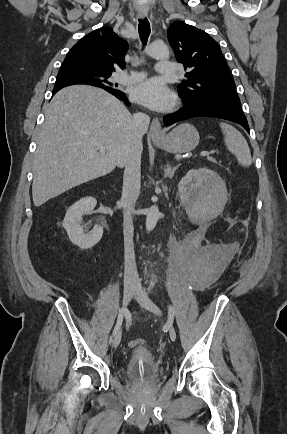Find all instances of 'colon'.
I'll return each instance as SVG.
<instances>
[{"label":"colon","mask_w":287,"mask_h":434,"mask_svg":"<svg viewBox=\"0 0 287 434\" xmlns=\"http://www.w3.org/2000/svg\"><path fill=\"white\" fill-rule=\"evenodd\" d=\"M131 348H142L145 346V342L141 339H134L129 342Z\"/></svg>","instance_id":"5ec220e1"}]
</instances>
